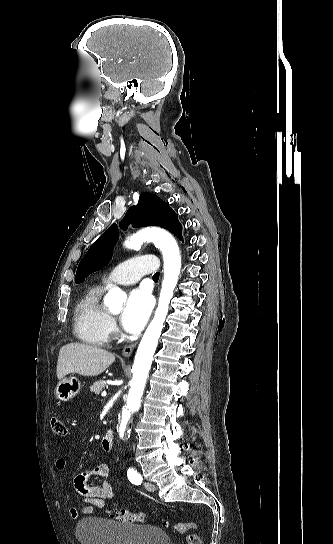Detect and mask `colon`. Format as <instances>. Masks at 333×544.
<instances>
[{
	"label": "colon",
	"mask_w": 333,
	"mask_h": 544,
	"mask_svg": "<svg viewBox=\"0 0 333 544\" xmlns=\"http://www.w3.org/2000/svg\"><path fill=\"white\" fill-rule=\"evenodd\" d=\"M50 426L53 434L61 437L67 435V428L62 419L53 417ZM113 516L126 523L140 524L143 522V514L130 512L128 510L116 511L113 513ZM164 525L169 526V523L165 522ZM173 529L178 533L186 534L187 544H202L200 536L196 532L198 525L195 522H177L173 525Z\"/></svg>",
	"instance_id": "5ec220e1"
}]
</instances>
